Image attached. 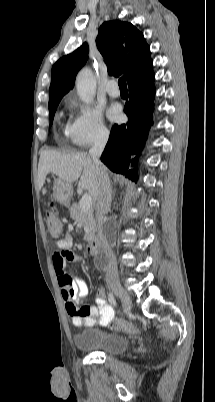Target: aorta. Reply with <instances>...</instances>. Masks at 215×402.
<instances>
[{"mask_svg": "<svg viewBox=\"0 0 215 402\" xmlns=\"http://www.w3.org/2000/svg\"><path fill=\"white\" fill-rule=\"evenodd\" d=\"M76 88L80 99L90 104L96 94V81L91 69L85 67L81 69L76 78Z\"/></svg>", "mask_w": 215, "mask_h": 402, "instance_id": "1", "label": "aorta"}]
</instances>
